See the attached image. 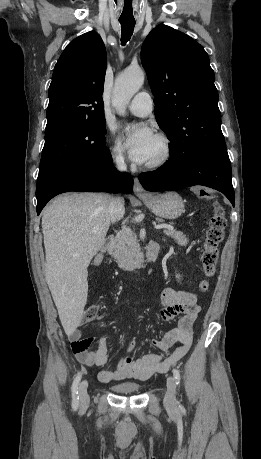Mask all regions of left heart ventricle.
Segmentation results:
<instances>
[{
    "label": "left heart ventricle",
    "instance_id": "obj_1",
    "mask_svg": "<svg viewBox=\"0 0 261 459\" xmlns=\"http://www.w3.org/2000/svg\"><path fill=\"white\" fill-rule=\"evenodd\" d=\"M161 152H162V146H161L159 140L157 138H155V140H154V142L152 144L151 150H150L149 158H148L146 163L151 162V161L155 160L156 158H158L160 156Z\"/></svg>",
    "mask_w": 261,
    "mask_h": 459
}]
</instances>
